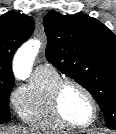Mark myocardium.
I'll return each mask as SVG.
<instances>
[{
	"mask_svg": "<svg viewBox=\"0 0 116 134\" xmlns=\"http://www.w3.org/2000/svg\"><path fill=\"white\" fill-rule=\"evenodd\" d=\"M67 86H74L81 90L89 99L91 106H92V117L90 121L86 124H77L72 121H70L63 113L62 107H61V96L64 91V89ZM52 107L53 111L58 118L60 122H62L65 126L73 129H86L91 127L98 118V104L93 96V94L90 92L88 88H86L83 84L79 83L78 81L72 80V79H62L59 81L56 86L54 87L52 91Z\"/></svg>",
	"mask_w": 116,
	"mask_h": 134,
	"instance_id": "obj_1",
	"label": "myocardium"
}]
</instances>
